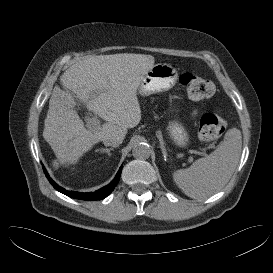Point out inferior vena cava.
I'll return each mask as SVG.
<instances>
[{
  "label": "inferior vena cava",
  "instance_id": "inferior-vena-cava-1",
  "mask_svg": "<svg viewBox=\"0 0 273 273\" xmlns=\"http://www.w3.org/2000/svg\"><path fill=\"white\" fill-rule=\"evenodd\" d=\"M103 143L105 146L118 147L121 141L113 137H108L103 139Z\"/></svg>",
  "mask_w": 273,
  "mask_h": 273
}]
</instances>
